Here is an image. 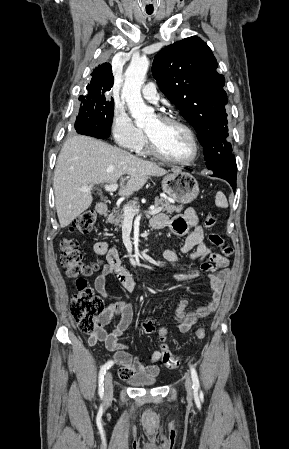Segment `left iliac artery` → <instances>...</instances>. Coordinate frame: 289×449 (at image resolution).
<instances>
[{"mask_svg":"<svg viewBox=\"0 0 289 449\" xmlns=\"http://www.w3.org/2000/svg\"><path fill=\"white\" fill-rule=\"evenodd\" d=\"M190 371H191V378H192V382H193L192 387H193L194 391L197 392L200 389V384H199L197 372L193 365H190Z\"/></svg>","mask_w":289,"mask_h":449,"instance_id":"obj_1","label":"left iliac artery"}]
</instances>
